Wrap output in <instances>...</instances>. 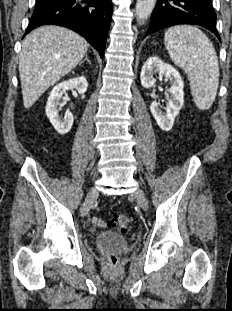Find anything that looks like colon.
<instances>
[{
  "label": "colon",
  "instance_id": "obj_1",
  "mask_svg": "<svg viewBox=\"0 0 232 311\" xmlns=\"http://www.w3.org/2000/svg\"><path fill=\"white\" fill-rule=\"evenodd\" d=\"M109 225L121 232L122 234H128L131 231L132 223L131 220L125 215H114L109 221ZM118 259L116 256H111L109 263L111 266H116Z\"/></svg>",
  "mask_w": 232,
  "mask_h": 311
}]
</instances>
